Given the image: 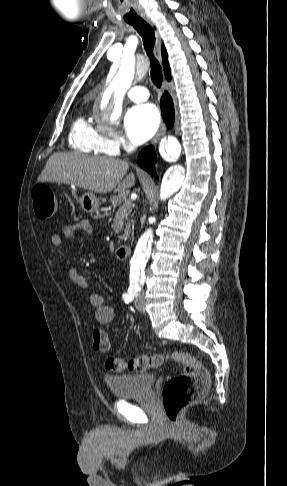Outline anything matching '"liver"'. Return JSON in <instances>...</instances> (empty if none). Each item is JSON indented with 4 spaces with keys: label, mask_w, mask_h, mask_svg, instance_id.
I'll use <instances>...</instances> for the list:
<instances>
[{
    "label": "liver",
    "mask_w": 287,
    "mask_h": 486,
    "mask_svg": "<svg viewBox=\"0 0 287 486\" xmlns=\"http://www.w3.org/2000/svg\"><path fill=\"white\" fill-rule=\"evenodd\" d=\"M128 168V162L120 159L60 152L50 156L38 182L72 184L97 193L122 192L135 185L133 172L124 178Z\"/></svg>",
    "instance_id": "liver-1"
}]
</instances>
